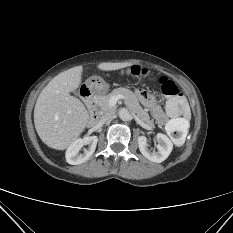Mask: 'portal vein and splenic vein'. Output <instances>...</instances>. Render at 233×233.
<instances>
[{"label":"portal vein and splenic vein","instance_id":"1","mask_svg":"<svg viewBox=\"0 0 233 233\" xmlns=\"http://www.w3.org/2000/svg\"><path fill=\"white\" fill-rule=\"evenodd\" d=\"M119 99H124V96L118 95V96H113V97H111V99L109 100V105H110V106L116 105V103H117V101H118Z\"/></svg>","mask_w":233,"mask_h":233}]
</instances>
